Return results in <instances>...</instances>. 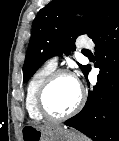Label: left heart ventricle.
<instances>
[{"instance_id":"1","label":"left heart ventricle","mask_w":119,"mask_h":141,"mask_svg":"<svg viewBox=\"0 0 119 141\" xmlns=\"http://www.w3.org/2000/svg\"><path fill=\"white\" fill-rule=\"evenodd\" d=\"M79 88L69 76H60L49 87L45 95L46 109L53 115L70 111L78 101Z\"/></svg>"}]
</instances>
